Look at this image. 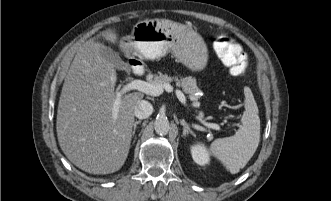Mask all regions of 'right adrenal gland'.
I'll list each match as a JSON object with an SVG mask.
<instances>
[{
    "label": "right adrenal gland",
    "mask_w": 331,
    "mask_h": 201,
    "mask_svg": "<svg viewBox=\"0 0 331 201\" xmlns=\"http://www.w3.org/2000/svg\"><path fill=\"white\" fill-rule=\"evenodd\" d=\"M138 124H141V120L135 121V122L133 123L132 136L135 135L136 127H137Z\"/></svg>",
    "instance_id": "1"
}]
</instances>
